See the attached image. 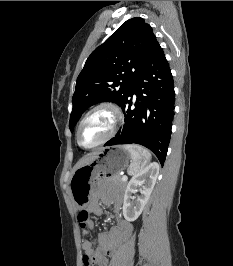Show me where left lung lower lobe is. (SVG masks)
<instances>
[{
  "mask_svg": "<svg viewBox=\"0 0 233 266\" xmlns=\"http://www.w3.org/2000/svg\"><path fill=\"white\" fill-rule=\"evenodd\" d=\"M136 95V101L132 96ZM175 92L168 61L158 45L145 63L130 95L122 105L125 124L105 146L140 144L164 164L174 117ZM135 108H131L132 105Z\"/></svg>",
  "mask_w": 233,
  "mask_h": 266,
  "instance_id": "left-lung-lower-lobe-1",
  "label": "left lung lower lobe"
}]
</instances>
